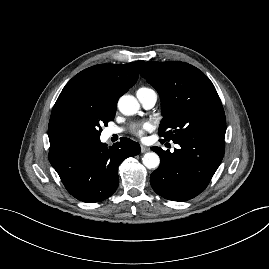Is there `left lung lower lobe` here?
<instances>
[{
    "label": "left lung lower lobe",
    "instance_id": "1",
    "mask_svg": "<svg viewBox=\"0 0 269 269\" xmlns=\"http://www.w3.org/2000/svg\"><path fill=\"white\" fill-rule=\"evenodd\" d=\"M180 145L173 153L152 147L161 159L150 176L153 190L173 201H186L200 194L209 184L225 152V141L196 137L174 142Z\"/></svg>",
    "mask_w": 269,
    "mask_h": 269
}]
</instances>
